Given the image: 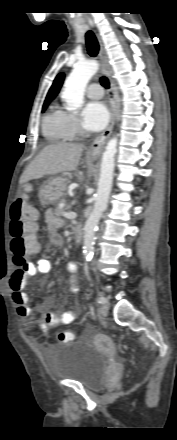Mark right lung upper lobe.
I'll return each mask as SVG.
<instances>
[{
  "label": "right lung upper lobe",
  "instance_id": "cb5924a9",
  "mask_svg": "<svg viewBox=\"0 0 177 440\" xmlns=\"http://www.w3.org/2000/svg\"><path fill=\"white\" fill-rule=\"evenodd\" d=\"M63 80H64L63 73L59 74L55 78L53 85L51 86L44 103H46V102L49 103L51 100H53L57 96V94L62 86Z\"/></svg>",
  "mask_w": 177,
  "mask_h": 440
}]
</instances>
